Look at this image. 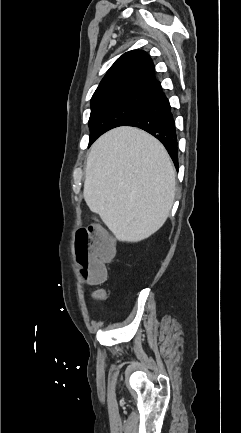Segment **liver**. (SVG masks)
Wrapping results in <instances>:
<instances>
[{
    "mask_svg": "<svg viewBox=\"0 0 241 433\" xmlns=\"http://www.w3.org/2000/svg\"><path fill=\"white\" fill-rule=\"evenodd\" d=\"M176 171L164 146L135 127L108 131L87 157L83 196L116 239L139 242L167 220Z\"/></svg>",
    "mask_w": 241,
    "mask_h": 433,
    "instance_id": "liver-1",
    "label": "liver"
}]
</instances>
